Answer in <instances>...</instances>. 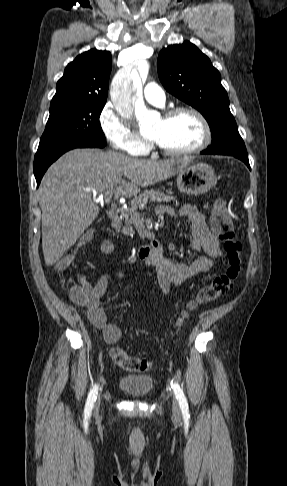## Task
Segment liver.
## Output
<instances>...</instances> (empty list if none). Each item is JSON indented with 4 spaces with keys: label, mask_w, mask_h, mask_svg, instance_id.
<instances>
[{
    "label": "liver",
    "mask_w": 287,
    "mask_h": 486,
    "mask_svg": "<svg viewBox=\"0 0 287 486\" xmlns=\"http://www.w3.org/2000/svg\"><path fill=\"white\" fill-rule=\"evenodd\" d=\"M190 160L153 161L96 149L65 153L48 168L38 190L45 264L58 262L95 220L98 193L113 190L115 196L131 197L140 187L177 174Z\"/></svg>",
    "instance_id": "obj_1"
}]
</instances>
